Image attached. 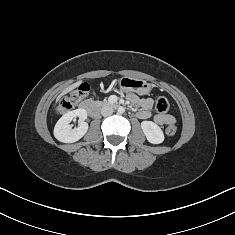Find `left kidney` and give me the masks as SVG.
I'll list each match as a JSON object with an SVG mask.
<instances>
[{"label": "left kidney", "instance_id": "left-kidney-1", "mask_svg": "<svg viewBox=\"0 0 235 235\" xmlns=\"http://www.w3.org/2000/svg\"><path fill=\"white\" fill-rule=\"evenodd\" d=\"M141 128L147 138L152 144H160L164 141V133L161 128L152 121H143Z\"/></svg>", "mask_w": 235, "mask_h": 235}]
</instances>
